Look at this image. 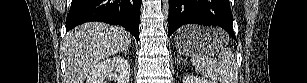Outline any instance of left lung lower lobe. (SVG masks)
I'll list each match as a JSON object with an SVG mask.
<instances>
[{
	"mask_svg": "<svg viewBox=\"0 0 307 83\" xmlns=\"http://www.w3.org/2000/svg\"><path fill=\"white\" fill-rule=\"evenodd\" d=\"M229 0H169L168 35L184 24L218 25L234 39Z\"/></svg>",
	"mask_w": 307,
	"mask_h": 83,
	"instance_id": "obj_1",
	"label": "left lung lower lobe"
}]
</instances>
